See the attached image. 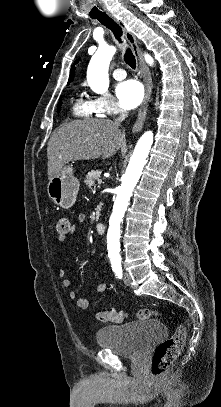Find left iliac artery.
<instances>
[{
  "label": "left iliac artery",
  "instance_id": "1",
  "mask_svg": "<svg viewBox=\"0 0 221 407\" xmlns=\"http://www.w3.org/2000/svg\"><path fill=\"white\" fill-rule=\"evenodd\" d=\"M112 269L115 272L117 278H122V267L120 263L112 264Z\"/></svg>",
  "mask_w": 221,
  "mask_h": 407
}]
</instances>
